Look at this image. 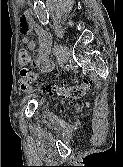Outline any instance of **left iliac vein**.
I'll use <instances>...</instances> for the list:
<instances>
[{
    "label": "left iliac vein",
    "mask_w": 123,
    "mask_h": 167,
    "mask_svg": "<svg viewBox=\"0 0 123 167\" xmlns=\"http://www.w3.org/2000/svg\"><path fill=\"white\" fill-rule=\"evenodd\" d=\"M69 49L66 45L62 46L61 54H60V59H59V66L63 67L64 64L68 61L69 58Z\"/></svg>",
    "instance_id": "4c4485c4"
}]
</instances>
